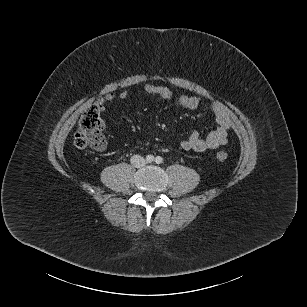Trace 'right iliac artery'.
<instances>
[{"mask_svg": "<svg viewBox=\"0 0 307 307\" xmlns=\"http://www.w3.org/2000/svg\"><path fill=\"white\" fill-rule=\"evenodd\" d=\"M146 161H147L148 163L153 162V161H154V156H153V155H147V156H146Z\"/></svg>", "mask_w": 307, "mask_h": 307, "instance_id": "right-iliac-artery-1", "label": "right iliac artery"}]
</instances>
